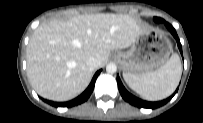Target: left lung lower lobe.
Instances as JSON below:
<instances>
[{
  "label": "left lung lower lobe",
  "mask_w": 203,
  "mask_h": 123,
  "mask_svg": "<svg viewBox=\"0 0 203 123\" xmlns=\"http://www.w3.org/2000/svg\"><path fill=\"white\" fill-rule=\"evenodd\" d=\"M160 22L165 23L166 27L168 28V30L171 32V34L174 36V38L177 41L178 44V48L182 54V46L180 43V40L177 36V33L175 31V29L167 22H165L163 19L159 18ZM117 83H118V87H119V91L121 96L123 97V99L125 101H127L128 103H130L131 105H134L136 107H140V108H150V109H155L158 108L160 106H163L164 104H166L168 101H170L172 99V97L176 94L177 90L174 92L173 95H171L170 97H168L165 100L162 101H158V102H148V101H144L141 99H138L137 97L133 96L132 94H130L123 86L119 76H117Z\"/></svg>",
  "instance_id": "0a47b994"
}]
</instances>
